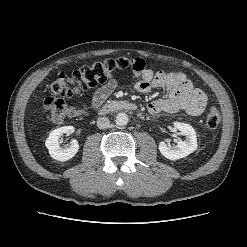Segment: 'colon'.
<instances>
[{
	"instance_id": "obj_1",
	"label": "colon",
	"mask_w": 247,
	"mask_h": 247,
	"mask_svg": "<svg viewBox=\"0 0 247 247\" xmlns=\"http://www.w3.org/2000/svg\"><path fill=\"white\" fill-rule=\"evenodd\" d=\"M129 67L133 68V60L119 57L83 66L71 75L61 72L50 86L51 95L43 101L47 118L57 123L71 118L75 110L65 99L72 98L100 84H105L115 73ZM220 122L221 113L218 108H209L205 116L207 127L215 129Z\"/></svg>"
}]
</instances>
